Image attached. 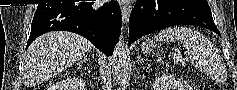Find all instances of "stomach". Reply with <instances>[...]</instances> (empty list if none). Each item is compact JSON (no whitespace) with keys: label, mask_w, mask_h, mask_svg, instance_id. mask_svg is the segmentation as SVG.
Returning a JSON list of instances; mask_svg holds the SVG:
<instances>
[{"label":"stomach","mask_w":237,"mask_h":90,"mask_svg":"<svg viewBox=\"0 0 237 90\" xmlns=\"http://www.w3.org/2000/svg\"><path fill=\"white\" fill-rule=\"evenodd\" d=\"M141 47L144 52H148V51H151L153 49V47H155V45L152 40L148 39L142 43Z\"/></svg>","instance_id":"stomach-1"}]
</instances>
